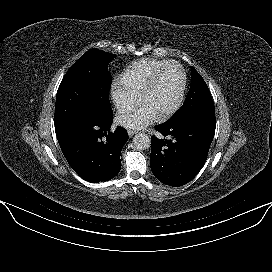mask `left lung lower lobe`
Instances as JSON below:
<instances>
[{"mask_svg":"<svg viewBox=\"0 0 272 272\" xmlns=\"http://www.w3.org/2000/svg\"><path fill=\"white\" fill-rule=\"evenodd\" d=\"M215 127V115L156 126L167 138L151 137L150 167L154 176L173 187L190 182L206 161Z\"/></svg>","mask_w":272,"mask_h":272,"instance_id":"0a47b994","label":"left lung lower lobe"}]
</instances>
